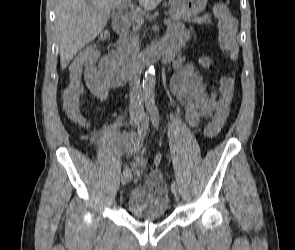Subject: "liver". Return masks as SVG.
Returning <instances> with one entry per match:
<instances>
[{"label": "liver", "mask_w": 295, "mask_h": 250, "mask_svg": "<svg viewBox=\"0 0 295 250\" xmlns=\"http://www.w3.org/2000/svg\"><path fill=\"white\" fill-rule=\"evenodd\" d=\"M127 0H56L55 27L61 68L106 27L113 7ZM136 10H153L161 0H138Z\"/></svg>", "instance_id": "1"}]
</instances>
